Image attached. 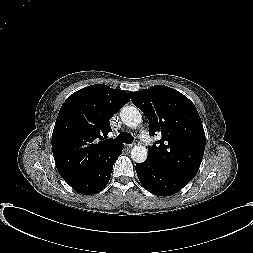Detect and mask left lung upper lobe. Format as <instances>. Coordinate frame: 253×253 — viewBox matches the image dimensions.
I'll return each mask as SVG.
<instances>
[{
    "mask_svg": "<svg viewBox=\"0 0 253 253\" xmlns=\"http://www.w3.org/2000/svg\"><path fill=\"white\" fill-rule=\"evenodd\" d=\"M129 94L134 105L147 116L149 134H161L155 146L148 147L147 158L192 180L199 170L206 141L194 104L180 92L163 85Z\"/></svg>",
    "mask_w": 253,
    "mask_h": 253,
    "instance_id": "5c2ea615",
    "label": "left lung upper lobe"
}]
</instances>
